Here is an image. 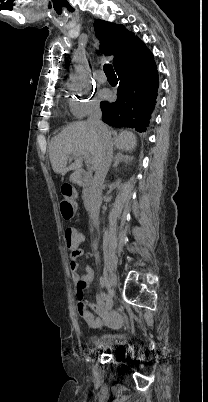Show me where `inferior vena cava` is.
Listing matches in <instances>:
<instances>
[{
    "label": "inferior vena cava",
    "instance_id": "obj_1",
    "mask_svg": "<svg viewBox=\"0 0 208 402\" xmlns=\"http://www.w3.org/2000/svg\"><path fill=\"white\" fill-rule=\"evenodd\" d=\"M102 112L100 110L99 104L93 106L90 116L87 120V124L90 126H94V128H98V130H102L105 134H108L104 124L101 122ZM112 162V142L111 138L107 136V138H103L102 140V148L97 156L96 162V172L93 178L92 190L90 194V206L88 208L90 220H92L93 226H97L100 206L102 202V186L104 184V180L107 176V172L110 168V164Z\"/></svg>",
    "mask_w": 208,
    "mask_h": 402
}]
</instances>
